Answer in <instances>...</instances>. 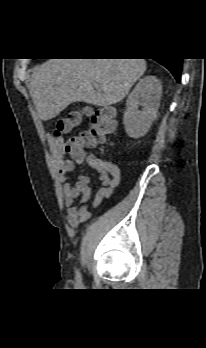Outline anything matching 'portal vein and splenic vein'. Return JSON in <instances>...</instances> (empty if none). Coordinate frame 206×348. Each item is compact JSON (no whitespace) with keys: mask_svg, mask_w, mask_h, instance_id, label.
<instances>
[{"mask_svg":"<svg viewBox=\"0 0 206 348\" xmlns=\"http://www.w3.org/2000/svg\"><path fill=\"white\" fill-rule=\"evenodd\" d=\"M95 86L98 87V84L96 83Z\"/></svg>","mask_w":206,"mask_h":348,"instance_id":"portal-vein-and-splenic-vein-1","label":"portal vein and splenic vein"}]
</instances>
